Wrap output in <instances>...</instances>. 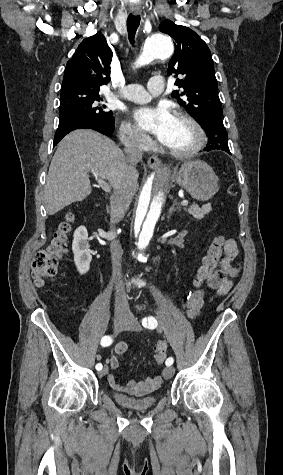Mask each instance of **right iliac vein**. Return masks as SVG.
<instances>
[{
  "label": "right iliac vein",
  "instance_id": "right-iliac-vein-1",
  "mask_svg": "<svg viewBox=\"0 0 283 475\" xmlns=\"http://www.w3.org/2000/svg\"><path fill=\"white\" fill-rule=\"evenodd\" d=\"M127 321V315L124 313H119L115 315L113 319V325L116 330H123L125 324ZM107 373V368L104 367L100 372H99V377L105 376Z\"/></svg>",
  "mask_w": 283,
  "mask_h": 475
}]
</instances>
